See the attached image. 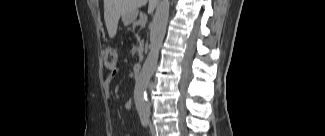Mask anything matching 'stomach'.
Returning a JSON list of instances; mask_svg holds the SVG:
<instances>
[{"mask_svg":"<svg viewBox=\"0 0 325 136\" xmlns=\"http://www.w3.org/2000/svg\"><path fill=\"white\" fill-rule=\"evenodd\" d=\"M136 17H137L136 13H130V14L124 15L122 17V19L125 24H130L136 19Z\"/></svg>","mask_w":325,"mask_h":136,"instance_id":"stomach-1","label":"stomach"}]
</instances>
